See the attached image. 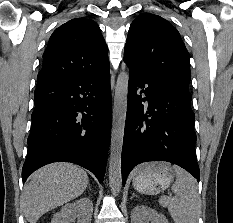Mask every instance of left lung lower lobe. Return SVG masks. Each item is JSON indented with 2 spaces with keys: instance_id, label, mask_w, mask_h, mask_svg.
I'll return each instance as SVG.
<instances>
[{
  "instance_id": "obj_1",
  "label": "left lung lower lobe",
  "mask_w": 233,
  "mask_h": 223,
  "mask_svg": "<svg viewBox=\"0 0 233 223\" xmlns=\"http://www.w3.org/2000/svg\"><path fill=\"white\" fill-rule=\"evenodd\" d=\"M124 61L130 73L121 161L123 184L134 166L155 160L179 165L199 181L190 92L159 82L126 56Z\"/></svg>"
}]
</instances>
